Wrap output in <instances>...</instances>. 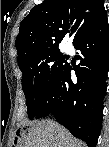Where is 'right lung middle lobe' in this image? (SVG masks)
Here are the masks:
<instances>
[{"label":"right lung middle lobe","instance_id":"1","mask_svg":"<svg viewBox=\"0 0 109 147\" xmlns=\"http://www.w3.org/2000/svg\"><path fill=\"white\" fill-rule=\"evenodd\" d=\"M65 66L64 56L55 50L41 55L34 62L20 68L29 119L37 116Z\"/></svg>","mask_w":109,"mask_h":147}]
</instances>
